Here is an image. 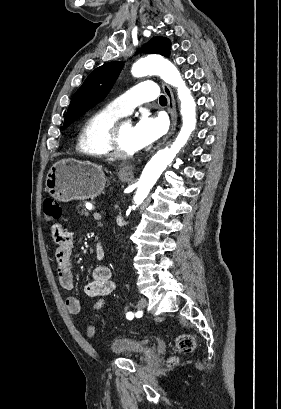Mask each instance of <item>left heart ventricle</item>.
Masks as SVG:
<instances>
[{"label": "left heart ventricle", "mask_w": 281, "mask_h": 409, "mask_svg": "<svg viewBox=\"0 0 281 409\" xmlns=\"http://www.w3.org/2000/svg\"><path fill=\"white\" fill-rule=\"evenodd\" d=\"M133 128L129 122L124 123L120 128L118 146L123 151L132 152L138 150L134 144Z\"/></svg>", "instance_id": "b2bd125f"}]
</instances>
